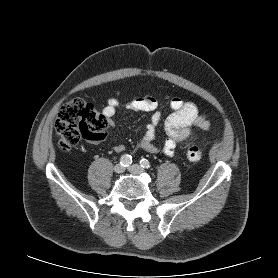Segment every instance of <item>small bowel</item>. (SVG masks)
Returning <instances> with one entry per match:
<instances>
[{
	"label": "small bowel",
	"mask_w": 278,
	"mask_h": 278,
	"mask_svg": "<svg viewBox=\"0 0 278 278\" xmlns=\"http://www.w3.org/2000/svg\"><path fill=\"white\" fill-rule=\"evenodd\" d=\"M171 114L164 121V130L167 135L161 148L157 147L153 140L156 128L161 122V113L158 111V101L153 96L138 97L132 99L126 107L132 111L152 112L150 123L147 125L145 134L141 137L138 147L150 153L162 152L167 156H173L177 143L190 136L193 128L206 130L210 127V122L204 114L200 113L197 105L191 101H184L179 97H174L169 103ZM123 104L110 98L103 108V115L107 118L108 124H112L113 117ZM114 151L121 152L124 145L118 144L113 147Z\"/></svg>",
	"instance_id": "small-bowel-1"
}]
</instances>
